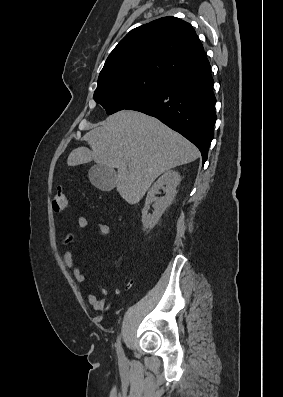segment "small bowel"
Wrapping results in <instances>:
<instances>
[{
    "label": "small bowel",
    "instance_id": "obj_1",
    "mask_svg": "<svg viewBox=\"0 0 283 397\" xmlns=\"http://www.w3.org/2000/svg\"><path fill=\"white\" fill-rule=\"evenodd\" d=\"M88 225V220L85 216L77 217V226L79 229H85ZM97 230L100 235L106 236L110 232V228L107 224L103 222L96 223ZM73 242V235L68 233L63 240L64 245H70ZM64 264L67 268L72 269V274L75 281L81 285L86 284V277L83 274L82 270L79 267L74 266V254L71 249L66 250L63 257ZM105 289L99 284L97 287V292H87V301L92 306L95 311L105 312L107 308H105Z\"/></svg>",
    "mask_w": 283,
    "mask_h": 397
}]
</instances>
